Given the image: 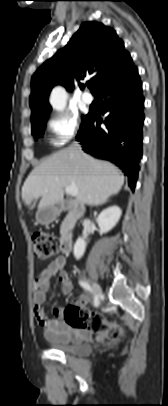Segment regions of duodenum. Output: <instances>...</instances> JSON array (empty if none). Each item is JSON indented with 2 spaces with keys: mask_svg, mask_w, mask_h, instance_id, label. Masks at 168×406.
Here are the masks:
<instances>
[{
  "mask_svg": "<svg viewBox=\"0 0 168 406\" xmlns=\"http://www.w3.org/2000/svg\"><path fill=\"white\" fill-rule=\"evenodd\" d=\"M54 210L57 213L68 212L70 218L67 222L66 229L61 237V250L64 254H69L73 245V223L82 215V211L71 201H57L54 203Z\"/></svg>",
  "mask_w": 168,
  "mask_h": 406,
  "instance_id": "duodenum-1",
  "label": "duodenum"
}]
</instances>
